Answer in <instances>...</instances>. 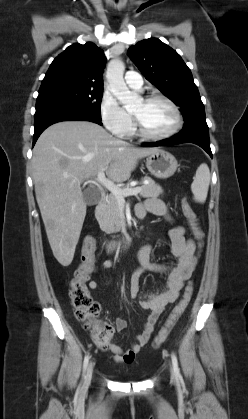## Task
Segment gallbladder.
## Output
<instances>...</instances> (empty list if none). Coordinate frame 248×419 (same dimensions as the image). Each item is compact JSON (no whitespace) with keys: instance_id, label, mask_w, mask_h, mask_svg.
Here are the masks:
<instances>
[{"instance_id":"bac80fb5","label":"gallbladder","mask_w":248,"mask_h":419,"mask_svg":"<svg viewBox=\"0 0 248 419\" xmlns=\"http://www.w3.org/2000/svg\"><path fill=\"white\" fill-rule=\"evenodd\" d=\"M83 198L87 205H95L99 202L101 195L98 189L89 188L84 191Z\"/></svg>"}]
</instances>
